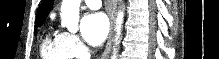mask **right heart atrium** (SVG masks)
I'll return each instance as SVG.
<instances>
[{
  "label": "right heart atrium",
  "instance_id": "right-heart-atrium-1",
  "mask_svg": "<svg viewBox=\"0 0 219 59\" xmlns=\"http://www.w3.org/2000/svg\"><path fill=\"white\" fill-rule=\"evenodd\" d=\"M65 38L68 48L74 57H84L87 53V48L75 34L65 32Z\"/></svg>",
  "mask_w": 219,
  "mask_h": 59
}]
</instances>
